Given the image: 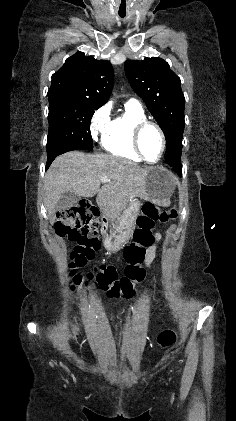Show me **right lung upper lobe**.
I'll return each instance as SVG.
<instances>
[{
  "label": "right lung upper lobe",
  "instance_id": "cb5924a9",
  "mask_svg": "<svg viewBox=\"0 0 236 421\" xmlns=\"http://www.w3.org/2000/svg\"><path fill=\"white\" fill-rule=\"evenodd\" d=\"M114 84L113 68L107 60H96L77 52L52 75L48 97L65 96L105 104Z\"/></svg>",
  "mask_w": 236,
  "mask_h": 421
}]
</instances>
